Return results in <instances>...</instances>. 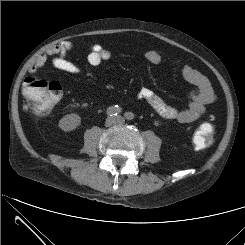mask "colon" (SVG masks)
Returning a JSON list of instances; mask_svg holds the SVG:
<instances>
[{"label": "colon", "mask_w": 245, "mask_h": 245, "mask_svg": "<svg viewBox=\"0 0 245 245\" xmlns=\"http://www.w3.org/2000/svg\"><path fill=\"white\" fill-rule=\"evenodd\" d=\"M25 106L36 115H45L59 101L62 87L59 82L35 76H27L23 82ZM211 119L202 123L193 136V143L198 149L209 147L214 140V125Z\"/></svg>", "instance_id": "obj_1"}]
</instances>
